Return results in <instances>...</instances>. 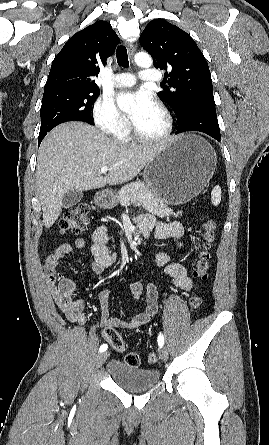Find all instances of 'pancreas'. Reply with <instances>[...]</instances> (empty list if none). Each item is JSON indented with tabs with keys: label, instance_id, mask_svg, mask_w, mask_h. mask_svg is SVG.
I'll use <instances>...</instances> for the list:
<instances>
[{
	"label": "pancreas",
	"instance_id": "obj_1",
	"mask_svg": "<svg viewBox=\"0 0 269 445\" xmlns=\"http://www.w3.org/2000/svg\"><path fill=\"white\" fill-rule=\"evenodd\" d=\"M118 200L125 207L138 203L150 213L161 218L171 215L178 217L179 214H182V212L175 213L142 182H133L123 186L118 192Z\"/></svg>",
	"mask_w": 269,
	"mask_h": 445
}]
</instances>
